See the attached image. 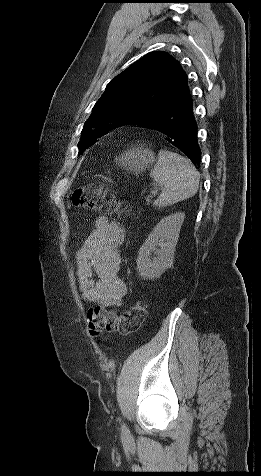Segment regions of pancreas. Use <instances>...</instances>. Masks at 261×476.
<instances>
[{"mask_svg":"<svg viewBox=\"0 0 261 476\" xmlns=\"http://www.w3.org/2000/svg\"><path fill=\"white\" fill-rule=\"evenodd\" d=\"M150 198H151V196H150V195H149V196H147V198H146V202H147V203H149V202H150Z\"/></svg>","mask_w":261,"mask_h":476,"instance_id":"cf45deb5","label":"pancreas"}]
</instances>
